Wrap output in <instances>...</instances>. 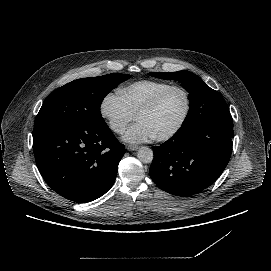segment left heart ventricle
I'll return each mask as SVG.
<instances>
[{"label": "left heart ventricle", "instance_id": "b2bd125f", "mask_svg": "<svg viewBox=\"0 0 271 271\" xmlns=\"http://www.w3.org/2000/svg\"><path fill=\"white\" fill-rule=\"evenodd\" d=\"M186 108V99L181 90L170 92L156 110L138 117L145 123L154 138L167 134L180 122Z\"/></svg>", "mask_w": 271, "mask_h": 271}]
</instances>
